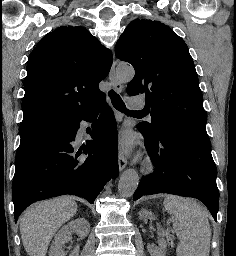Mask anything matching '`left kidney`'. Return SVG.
<instances>
[{"label":"left kidney","instance_id":"left-kidney-1","mask_svg":"<svg viewBox=\"0 0 236 256\" xmlns=\"http://www.w3.org/2000/svg\"><path fill=\"white\" fill-rule=\"evenodd\" d=\"M139 218H141V220H144V218H153V214L152 212H147V210H142V212H139ZM153 220H155V218H153ZM158 236V248L150 246V244L147 246L150 256H166L167 246L162 228H158Z\"/></svg>","mask_w":236,"mask_h":256}]
</instances>
